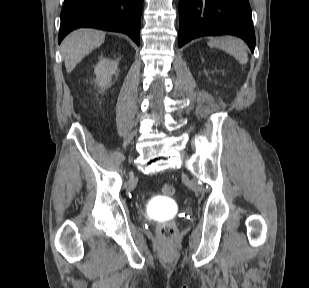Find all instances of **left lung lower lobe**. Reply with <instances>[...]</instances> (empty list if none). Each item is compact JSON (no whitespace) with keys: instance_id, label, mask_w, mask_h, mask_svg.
<instances>
[{"instance_id":"1","label":"left lung lower lobe","mask_w":309,"mask_h":288,"mask_svg":"<svg viewBox=\"0 0 309 288\" xmlns=\"http://www.w3.org/2000/svg\"><path fill=\"white\" fill-rule=\"evenodd\" d=\"M179 47L201 36L231 34L255 48L248 0H180Z\"/></svg>"}]
</instances>
